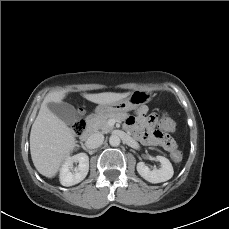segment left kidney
<instances>
[{
	"instance_id": "left-kidney-1",
	"label": "left kidney",
	"mask_w": 229,
	"mask_h": 229,
	"mask_svg": "<svg viewBox=\"0 0 229 229\" xmlns=\"http://www.w3.org/2000/svg\"><path fill=\"white\" fill-rule=\"evenodd\" d=\"M156 160L161 163L159 169L150 170L144 162L137 163V171L140 176L150 183H161L171 179L174 174L171 162L163 156H156Z\"/></svg>"
}]
</instances>
